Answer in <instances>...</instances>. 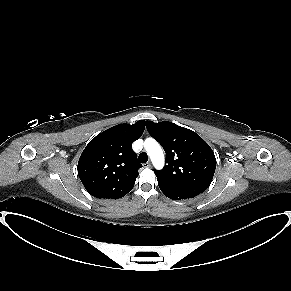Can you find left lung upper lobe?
<instances>
[{"label":"left lung upper lobe","mask_w":291,"mask_h":291,"mask_svg":"<svg viewBox=\"0 0 291 291\" xmlns=\"http://www.w3.org/2000/svg\"><path fill=\"white\" fill-rule=\"evenodd\" d=\"M146 127L166 152L167 164L162 170H155L158 181L192 196L204 192L216 169L210 146L194 131L169 121H146Z\"/></svg>","instance_id":"5c2ea615"}]
</instances>
